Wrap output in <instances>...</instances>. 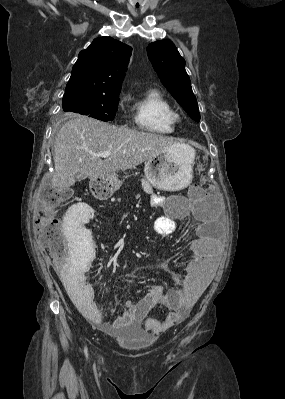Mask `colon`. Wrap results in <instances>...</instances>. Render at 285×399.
I'll list each match as a JSON object with an SVG mask.
<instances>
[{"instance_id": "obj_1", "label": "colon", "mask_w": 285, "mask_h": 399, "mask_svg": "<svg viewBox=\"0 0 285 399\" xmlns=\"http://www.w3.org/2000/svg\"><path fill=\"white\" fill-rule=\"evenodd\" d=\"M95 190V187H93ZM204 189L199 185H192L188 189V196L191 200H199L204 196ZM67 191L57 188H46L42 191L39 204V215L34 223V231L44 244L45 249L50 253L56 263L64 268L68 265L70 258L69 251L75 256L78 255V245L69 247L64 232V225L55 214L60 203L68 196ZM93 248L90 246V254ZM176 320V316H171ZM159 320L153 317L145 319V326L152 329Z\"/></svg>"}]
</instances>
